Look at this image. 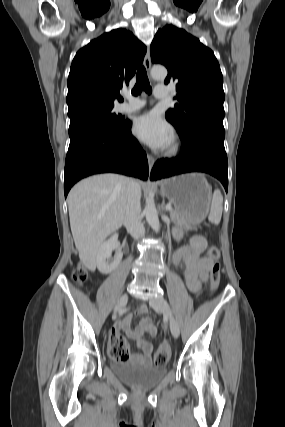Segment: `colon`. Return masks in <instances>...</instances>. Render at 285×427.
<instances>
[{"label":"colon","mask_w":285,"mask_h":427,"mask_svg":"<svg viewBox=\"0 0 285 427\" xmlns=\"http://www.w3.org/2000/svg\"><path fill=\"white\" fill-rule=\"evenodd\" d=\"M208 257L212 264L210 267V284L212 290H216L221 280V264L220 250L218 246L212 245L208 250ZM74 279L77 283H83L88 279V272L79 265L74 272ZM110 354L118 362L124 363L129 358V346L123 337H111L110 339ZM170 356V347L167 344H162L154 355V364L158 367H163L168 362Z\"/></svg>","instance_id":"obj_1"}]
</instances>
